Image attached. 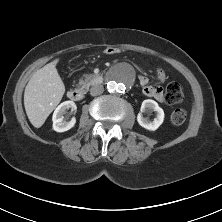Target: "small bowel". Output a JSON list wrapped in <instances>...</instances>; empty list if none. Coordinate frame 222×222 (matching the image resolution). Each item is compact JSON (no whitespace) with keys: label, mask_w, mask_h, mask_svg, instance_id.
<instances>
[{"label":"small bowel","mask_w":222,"mask_h":222,"mask_svg":"<svg viewBox=\"0 0 222 222\" xmlns=\"http://www.w3.org/2000/svg\"><path fill=\"white\" fill-rule=\"evenodd\" d=\"M156 76L159 82H163L166 78L165 71L161 68H158L156 70ZM139 82L146 96L155 98L160 101L163 100L162 88L159 85L150 84L148 78L145 76H140Z\"/></svg>","instance_id":"c3829d8e"}]
</instances>
